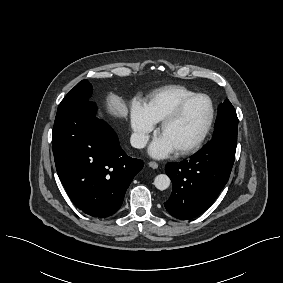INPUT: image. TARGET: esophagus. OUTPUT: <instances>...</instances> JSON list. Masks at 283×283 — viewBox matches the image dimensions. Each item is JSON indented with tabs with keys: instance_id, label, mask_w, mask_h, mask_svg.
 Listing matches in <instances>:
<instances>
[{
	"instance_id": "1",
	"label": "esophagus",
	"mask_w": 283,
	"mask_h": 283,
	"mask_svg": "<svg viewBox=\"0 0 283 283\" xmlns=\"http://www.w3.org/2000/svg\"><path fill=\"white\" fill-rule=\"evenodd\" d=\"M149 167H151L152 169H157L158 168V164L154 161H150L148 163Z\"/></svg>"
}]
</instances>
